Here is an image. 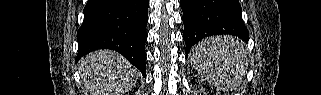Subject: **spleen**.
Segmentation results:
<instances>
[{
  "instance_id": "1",
  "label": "spleen",
  "mask_w": 321,
  "mask_h": 95,
  "mask_svg": "<svg viewBox=\"0 0 321 95\" xmlns=\"http://www.w3.org/2000/svg\"><path fill=\"white\" fill-rule=\"evenodd\" d=\"M191 60L217 90H231L245 73L247 55L243 44L233 36H214L202 40L191 51Z\"/></svg>"
}]
</instances>
